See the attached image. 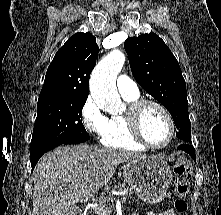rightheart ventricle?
I'll list each match as a JSON object with an SVG mask.
<instances>
[{"mask_svg": "<svg viewBox=\"0 0 221 215\" xmlns=\"http://www.w3.org/2000/svg\"><path fill=\"white\" fill-rule=\"evenodd\" d=\"M127 103L139 99V93L135 95L121 94ZM105 146L123 149L127 151H144L146 147L140 144L132 135L126 114H113L108 118L107 129L101 137Z\"/></svg>", "mask_w": 221, "mask_h": 215, "instance_id": "1", "label": "right heart ventricle"}]
</instances>
